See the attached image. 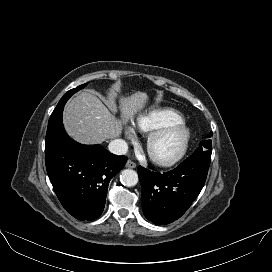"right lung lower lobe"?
<instances>
[{
  "instance_id": "obj_1",
  "label": "right lung lower lobe",
  "mask_w": 272,
  "mask_h": 272,
  "mask_svg": "<svg viewBox=\"0 0 272 272\" xmlns=\"http://www.w3.org/2000/svg\"><path fill=\"white\" fill-rule=\"evenodd\" d=\"M126 161L127 157L114 155L101 145L73 141L63 125L46 137L48 176L63 207L78 220L91 221L101 215L109 182Z\"/></svg>"
}]
</instances>
